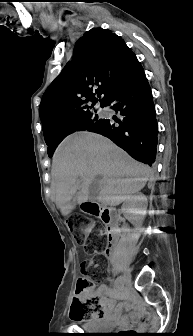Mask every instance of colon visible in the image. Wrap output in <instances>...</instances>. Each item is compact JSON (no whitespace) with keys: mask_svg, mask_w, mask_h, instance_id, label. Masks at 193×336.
Returning a JSON list of instances; mask_svg holds the SVG:
<instances>
[{"mask_svg":"<svg viewBox=\"0 0 193 336\" xmlns=\"http://www.w3.org/2000/svg\"><path fill=\"white\" fill-rule=\"evenodd\" d=\"M83 224L84 222L78 216H73L68 220V227L73 231L76 242L84 245L88 252H102L103 245L98 240V235L93 232L96 229L95 225L92 222H87L83 227ZM87 230H89L88 233ZM90 264L91 262L88 260L81 263L82 276L77 280L75 295L70 308V317L75 321L86 320L93 315L102 313L100 297L87 295L94 285L92 278L87 274Z\"/></svg>","mask_w":193,"mask_h":336,"instance_id":"5ec220e1","label":"colon"}]
</instances>
